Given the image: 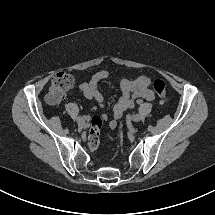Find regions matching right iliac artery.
I'll list each match as a JSON object with an SVG mask.
<instances>
[{"label": "right iliac artery", "instance_id": "obj_1", "mask_svg": "<svg viewBox=\"0 0 215 215\" xmlns=\"http://www.w3.org/2000/svg\"><path fill=\"white\" fill-rule=\"evenodd\" d=\"M82 117L86 120H89V118H90L89 116H85V115H83Z\"/></svg>", "mask_w": 215, "mask_h": 215}]
</instances>
